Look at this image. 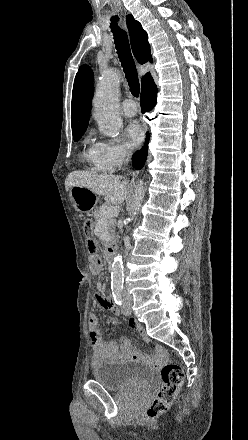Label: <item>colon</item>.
Instances as JSON below:
<instances>
[{
  "mask_svg": "<svg viewBox=\"0 0 248 440\" xmlns=\"http://www.w3.org/2000/svg\"><path fill=\"white\" fill-rule=\"evenodd\" d=\"M83 225L88 239L90 268L93 272L97 273L101 268V261L97 255V247L91 239L92 221L86 219ZM161 378L162 386L157 397L147 410V415L150 418H155L168 410L184 381V371L179 365L168 363L161 369Z\"/></svg>",
  "mask_w": 248,
  "mask_h": 440,
  "instance_id": "5ec220e1",
  "label": "colon"
}]
</instances>
